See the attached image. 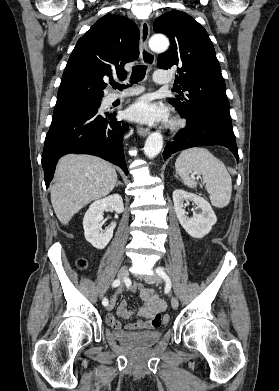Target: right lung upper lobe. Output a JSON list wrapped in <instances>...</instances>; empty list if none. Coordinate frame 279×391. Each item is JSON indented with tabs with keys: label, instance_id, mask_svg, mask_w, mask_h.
<instances>
[{
	"label": "right lung upper lobe",
	"instance_id": "1",
	"mask_svg": "<svg viewBox=\"0 0 279 391\" xmlns=\"http://www.w3.org/2000/svg\"><path fill=\"white\" fill-rule=\"evenodd\" d=\"M139 29L131 20L112 14L100 18L81 37L69 57L54 110L101 101L104 80L126 78L124 65L139 56Z\"/></svg>",
	"mask_w": 279,
	"mask_h": 391
}]
</instances>
